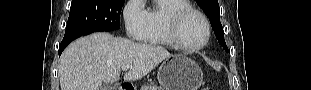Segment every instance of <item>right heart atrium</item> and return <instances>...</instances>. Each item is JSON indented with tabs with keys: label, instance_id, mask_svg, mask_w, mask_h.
I'll return each instance as SVG.
<instances>
[{
	"label": "right heart atrium",
	"instance_id": "1",
	"mask_svg": "<svg viewBox=\"0 0 311 90\" xmlns=\"http://www.w3.org/2000/svg\"><path fill=\"white\" fill-rule=\"evenodd\" d=\"M123 19L128 38L141 40L146 26V10L142 0H129L123 8Z\"/></svg>",
	"mask_w": 311,
	"mask_h": 90
}]
</instances>
